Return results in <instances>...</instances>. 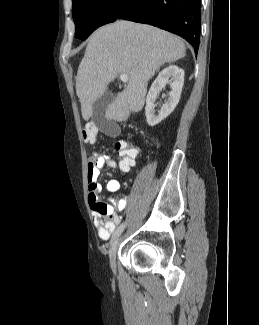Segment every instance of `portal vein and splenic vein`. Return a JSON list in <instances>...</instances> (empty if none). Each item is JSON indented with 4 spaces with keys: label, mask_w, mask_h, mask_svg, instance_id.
Instances as JSON below:
<instances>
[{
    "label": "portal vein and splenic vein",
    "mask_w": 259,
    "mask_h": 325,
    "mask_svg": "<svg viewBox=\"0 0 259 325\" xmlns=\"http://www.w3.org/2000/svg\"><path fill=\"white\" fill-rule=\"evenodd\" d=\"M119 78L123 82H128V76L126 74H120Z\"/></svg>",
    "instance_id": "obj_1"
}]
</instances>
